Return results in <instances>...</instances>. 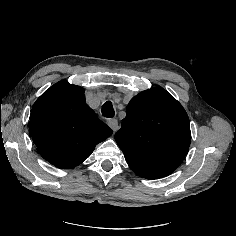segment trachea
<instances>
[{"label":"trachea","mask_w":236,"mask_h":236,"mask_svg":"<svg viewBox=\"0 0 236 236\" xmlns=\"http://www.w3.org/2000/svg\"><path fill=\"white\" fill-rule=\"evenodd\" d=\"M102 115L107 118H111L115 115L112 103L110 101L103 104Z\"/></svg>","instance_id":"trachea-1"}]
</instances>
